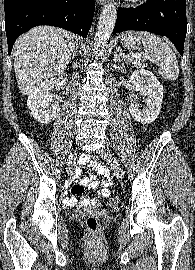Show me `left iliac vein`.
<instances>
[{"label":"left iliac vein","instance_id":"4c4485c4","mask_svg":"<svg viewBox=\"0 0 195 270\" xmlns=\"http://www.w3.org/2000/svg\"><path fill=\"white\" fill-rule=\"evenodd\" d=\"M99 154L111 166V168L114 170V174L119 179H122L124 176V171L120 166L119 162L117 161V159L105 148L99 150Z\"/></svg>","mask_w":195,"mask_h":270}]
</instances>
